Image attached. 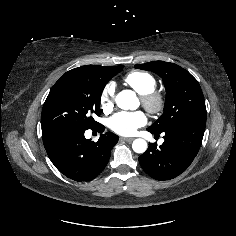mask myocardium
Instances as JSON below:
<instances>
[{"mask_svg":"<svg viewBox=\"0 0 236 236\" xmlns=\"http://www.w3.org/2000/svg\"><path fill=\"white\" fill-rule=\"evenodd\" d=\"M140 99L143 107L151 114L162 112L166 103L164 94L156 89L141 94Z\"/></svg>","mask_w":236,"mask_h":236,"instance_id":"myocardium-1","label":"myocardium"}]
</instances>
